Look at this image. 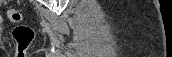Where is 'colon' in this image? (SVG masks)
Listing matches in <instances>:
<instances>
[{"instance_id": "1", "label": "colon", "mask_w": 172, "mask_h": 57, "mask_svg": "<svg viewBox=\"0 0 172 57\" xmlns=\"http://www.w3.org/2000/svg\"><path fill=\"white\" fill-rule=\"evenodd\" d=\"M8 19L12 22H19L21 14L15 9L6 12ZM13 38L16 42L15 57H26L27 49L34 39V30L29 25L19 24L13 29Z\"/></svg>"}]
</instances>
